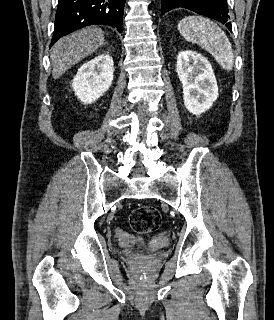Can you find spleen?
I'll use <instances>...</instances> for the list:
<instances>
[{
	"label": "spleen",
	"mask_w": 274,
	"mask_h": 320,
	"mask_svg": "<svg viewBox=\"0 0 274 320\" xmlns=\"http://www.w3.org/2000/svg\"><path fill=\"white\" fill-rule=\"evenodd\" d=\"M180 34L186 38L187 42L198 44L209 54H212L216 62L224 70L233 68V50L231 44L223 30L202 16H187L179 22Z\"/></svg>",
	"instance_id": "spleen-1"
}]
</instances>
